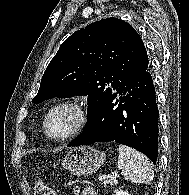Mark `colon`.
Listing matches in <instances>:
<instances>
[{"instance_id": "1", "label": "colon", "mask_w": 189, "mask_h": 195, "mask_svg": "<svg viewBox=\"0 0 189 195\" xmlns=\"http://www.w3.org/2000/svg\"><path fill=\"white\" fill-rule=\"evenodd\" d=\"M33 190L34 195H56L54 188L42 178L36 179Z\"/></svg>"}]
</instances>
